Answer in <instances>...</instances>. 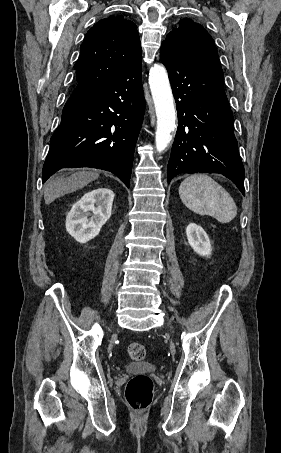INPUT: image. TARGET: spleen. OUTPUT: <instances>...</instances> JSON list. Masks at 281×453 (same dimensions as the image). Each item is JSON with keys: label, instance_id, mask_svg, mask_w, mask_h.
I'll list each match as a JSON object with an SVG mask.
<instances>
[{"label": "spleen", "instance_id": "obj_1", "mask_svg": "<svg viewBox=\"0 0 281 453\" xmlns=\"http://www.w3.org/2000/svg\"><path fill=\"white\" fill-rule=\"evenodd\" d=\"M182 202L198 214H210L219 222H230L237 206L229 192L208 174H191L179 186Z\"/></svg>", "mask_w": 281, "mask_h": 453}]
</instances>
